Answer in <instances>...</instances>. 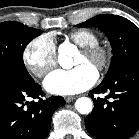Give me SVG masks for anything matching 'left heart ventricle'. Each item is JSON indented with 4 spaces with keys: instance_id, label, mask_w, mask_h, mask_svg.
I'll list each match as a JSON object with an SVG mask.
<instances>
[{
    "instance_id": "b2bd125f",
    "label": "left heart ventricle",
    "mask_w": 139,
    "mask_h": 139,
    "mask_svg": "<svg viewBox=\"0 0 139 139\" xmlns=\"http://www.w3.org/2000/svg\"><path fill=\"white\" fill-rule=\"evenodd\" d=\"M74 64H75L76 66H79V65H81V64H90L91 66H93V67L95 68L93 62L90 61V60L87 58V56H86L84 53H82V52L79 53V55L77 56V58H76Z\"/></svg>"
}]
</instances>
